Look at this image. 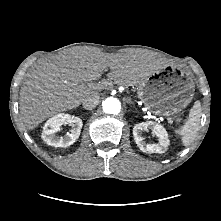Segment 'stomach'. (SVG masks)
Listing matches in <instances>:
<instances>
[{
  "instance_id": "obj_1",
  "label": "stomach",
  "mask_w": 221,
  "mask_h": 221,
  "mask_svg": "<svg viewBox=\"0 0 221 221\" xmlns=\"http://www.w3.org/2000/svg\"><path fill=\"white\" fill-rule=\"evenodd\" d=\"M190 75L182 70H158L142 80L138 98L156 115L169 116L183 110L194 96Z\"/></svg>"
}]
</instances>
